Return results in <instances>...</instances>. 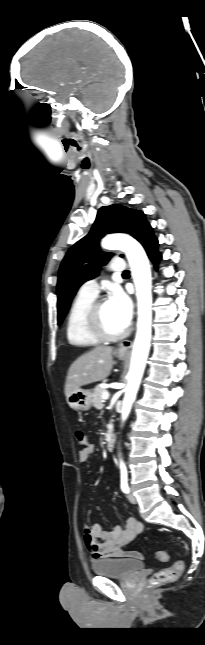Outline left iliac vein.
<instances>
[{"instance_id":"obj_1","label":"left iliac vein","mask_w":205,"mask_h":645,"mask_svg":"<svg viewBox=\"0 0 205 645\" xmlns=\"http://www.w3.org/2000/svg\"><path fill=\"white\" fill-rule=\"evenodd\" d=\"M127 497H128V500H129L132 504H136V503H137V499H136V497L133 495V493H129Z\"/></svg>"}]
</instances>
